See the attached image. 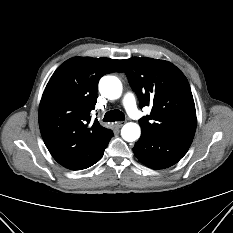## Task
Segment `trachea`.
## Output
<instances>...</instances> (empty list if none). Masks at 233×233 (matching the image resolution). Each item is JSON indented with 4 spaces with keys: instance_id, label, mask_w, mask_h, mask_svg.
Instances as JSON below:
<instances>
[{
    "instance_id": "3493384b",
    "label": "trachea",
    "mask_w": 233,
    "mask_h": 233,
    "mask_svg": "<svg viewBox=\"0 0 233 233\" xmlns=\"http://www.w3.org/2000/svg\"><path fill=\"white\" fill-rule=\"evenodd\" d=\"M124 119H125V115L123 112L119 110H111L105 114L103 121L114 122V121H123Z\"/></svg>"
}]
</instances>
